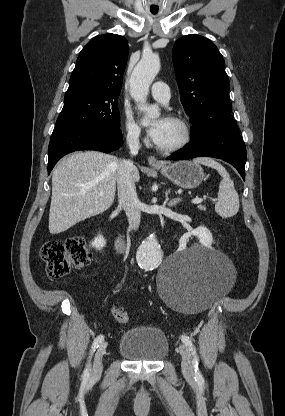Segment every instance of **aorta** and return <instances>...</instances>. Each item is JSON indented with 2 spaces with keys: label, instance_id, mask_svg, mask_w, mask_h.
Returning a JSON list of instances; mask_svg holds the SVG:
<instances>
[{
  "label": "aorta",
  "instance_id": "obj_1",
  "mask_svg": "<svg viewBox=\"0 0 285 416\" xmlns=\"http://www.w3.org/2000/svg\"><path fill=\"white\" fill-rule=\"evenodd\" d=\"M159 70V58L155 55H145L135 66L130 77V93L137 103L138 109L145 114L144 124L149 123L151 119L157 118L160 115L157 106L146 103L150 85ZM161 259L160 245L156 236L151 234L140 245L136 254V260L142 269L152 270L159 266Z\"/></svg>",
  "mask_w": 285,
  "mask_h": 416
}]
</instances>
